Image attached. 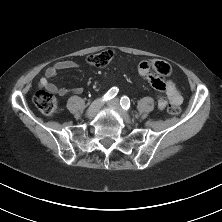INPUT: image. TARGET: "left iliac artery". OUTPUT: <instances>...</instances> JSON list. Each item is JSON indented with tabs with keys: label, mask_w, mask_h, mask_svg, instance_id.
<instances>
[{
	"label": "left iliac artery",
	"mask_w": 222,
	"mask_h": 222,
	"mask_svg": "<svg viewBox=\"0 0 222 222\" xmlns=\"http://www.w3.org/2000/svg\"><path fill=\"white\" fill-rule=\"evenodd\" d=\"M120 104L123 109L128 110L130 108V99L127 96H123L121 97Z\"/></svg>",
	"instance_id": "left-iliac-artery-1"
}]
</instances>
